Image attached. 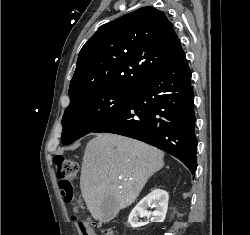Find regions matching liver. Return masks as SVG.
<instances>
[{"label": "liver", "instance_id": "1", "mask_svg": "<svg viewBox=\"0 0 250 235\" xmlns=\"http://www.w3.org/2000/svg\"><path fill=\"white\" fill-rule=\"evenodd\" d=\"M164 153L125 136L100 133L86 146L80 188L88 210L101 221V205L114 197L119 209L130 206L148 179L164 166Z\"/></svg>", "mask_w": 250, "mask_h": 235}]
</instances>
